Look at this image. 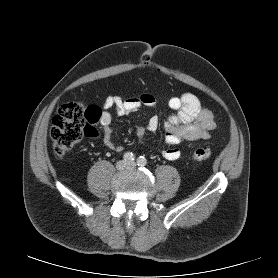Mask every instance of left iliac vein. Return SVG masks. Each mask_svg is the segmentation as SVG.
Masks as SVG:
<instances>
[{"mask_svg":"<svg viewBox=\"0 0 278 278\" xmlns=\"http://www.w3.org/2000/svg\"><path fill=\"white\" fill-rule=\"evenodd\" d=\"M136 167V163L131 162L128 164V169H134Z\"/></svg>","mask_w":278,"mask_h":278,"instance_id":"obj_1","label":"left iliac vein"}]
</instances>
